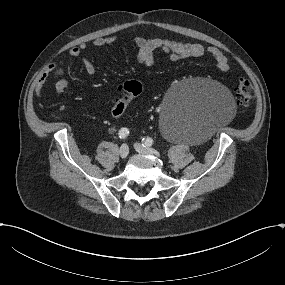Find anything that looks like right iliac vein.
Masks as SVG:
<instances>
[{"mask_svg":"<svg viewBox=\"0 0 285 285\" xmlns=\"http://www.w3.org/2000/svg\"><path fill=\"white\" fill-rule=\"evenodd\" d=\"M119 153H120V157L123 158V159H125V158L128 156V154H129V148H128V146H127L126 144H123V145L120 147Z\"/></svg>","mask_w":285,"mask_h":285,"instance_id":"right-iliac-vein-1","label":"right iliac vein"}]
</instances>
